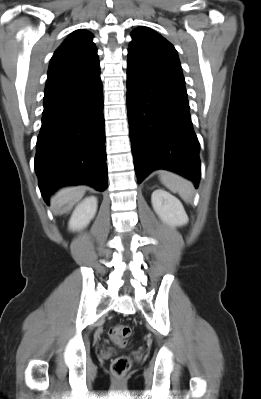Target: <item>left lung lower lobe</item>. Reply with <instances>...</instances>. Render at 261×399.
I'll list each match as a JSON object with an SVG mask.
<instances>
[{"instance_id": "obj_1", "label": "left lung lower lobe", "mask_w": 261, "mask_h": 399, "mask_svg": "<svg viewBox=\"0 0 261 399\" xmlns=\"http://www.w3.org/2000/svg\"><path fill=\"white\" fill-rule=\"evenodd\" d=\"M127 107L138 183L166 169L198 187L199 142L192 127L185 83L127 69Z\"/></svg>"}]
</instances>
